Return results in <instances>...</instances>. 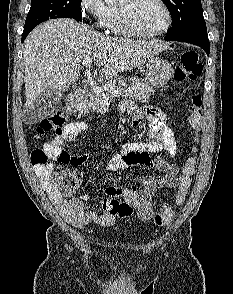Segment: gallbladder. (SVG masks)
<instances>
[{
  "label": "gallbladder",
  "mask_w": 233,
  "mask_h": 294,
  "mask_svg": "<svg viewBox=\"0 0 233 294\" xmlns=\"http://www.w3.org/2000/svg\"><path fill=\"white\" fill-rule=\"evenodd\" d=\"M62 97V93H58L55 89H45L35 102L34 108L31 111L32 118H28V120L39 122L50 116L60 103Z\"/></svg>",
  "instance_id": "gallbladder-1"
}]
</instances>
